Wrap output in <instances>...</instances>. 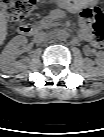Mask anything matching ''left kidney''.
Instances as JSON below:
<instances>
[{
  "mask_svg": "<svg viewBox=\"0 0 104 137\" xmlns=\"http://www.w3.org/2000/svg\"><path fill=\"white\" fill-rule=\"evenodd\" d=\"M96 63L98 65V68L102 70L103 69V64H104V59H103V53L102 52H99V58L97 59Z\"/></svg>",
  "mask_w": 104,
  "mask_h": 137,
  "instance_id": "1",
  "label": "left kidney"
}]
</instances>
